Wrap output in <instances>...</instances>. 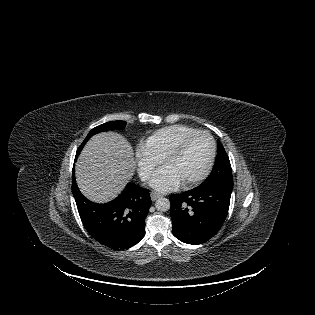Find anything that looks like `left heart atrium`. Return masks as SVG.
I'll list each match as a JSON object with an SVG mask.
<instances>
[{
    "mask_svg": "<svg viewBox=\"0 0 315 315\" xmlns=\"http://www.w3.org/2000/svg\"><path fill=\"white\" fill-rule=\"evenodd\" d=\"M181 182V179L173 170L164 166L153 175L150 185L159 191H169L178 187Z\"/></svg>",
    "mask_w": 315,
    "mask_h": 315,
    "instance_id": "left-heart-atrium-1",
    "label": "left heart atrium"
}]
</instances>
